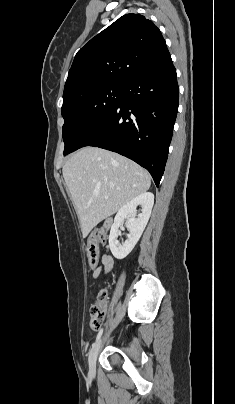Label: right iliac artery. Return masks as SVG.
I'll return each mask as SVG.
<instances>
[{
	"mask_svg": "<svg viewBox=\"0 0 235 404\" xmlns=\"http://www.w3.org/2000/svg\"><path fill=\"white\" fill-rule=\"evenodd\" d=\"M102 333H103V329H101V330L99 331V333L97 334L95 343L100 339ZM95 343H94V344H95ZM94 344H93V345H94Z\"/></svg>",
	"mask_w": 235,
	"mask_h": 404,
	"instance_id": "right-iliac-artery-1",
	"label": "right iliac artery"
}]
</instances>
